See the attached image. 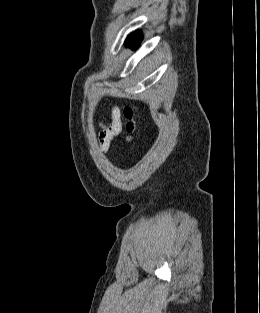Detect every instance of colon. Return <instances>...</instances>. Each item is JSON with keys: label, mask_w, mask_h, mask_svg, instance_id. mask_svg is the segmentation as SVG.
<instances>
[{"label": "colon", "mask_w": 260, "mask_h": 313, "mask_svg": "<svg viewBox=\"0 0 260 313\" xmlns=\"http://www.w3.org/2000/svg\"><path fill=\"white\" fill-rule=\"evenodd\" d=\"M123 115L126 119V124H125V130L127 133L126 140L128 142H130L133 139V137L137 131V124H136V120H135L134 108L131 106L125 107L124 111H123Z\"/></svg>", "instance_id": "obj_1"}]
</instances>
